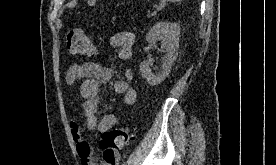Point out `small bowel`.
I'll return each instance as SVG.
<instances>
[{
	"label": "small bowel",
	"instance_id": "1",
	"mask_svg": "<svg viewBox=\"0 0 276 165\" xmlns=\"http://www.w3.org/2000/svg\"><path fill=\"white\" fill-rule=\"evenodd\" d=\"M135 36L131 32H119L113 35L110 43L117 48V55L120 60L126 61L132 57V47ZM113 77L112 69L96 62L74 63L65 76L69 86L80 83V97L82 99V111L86 119V126L89 130H98L101 133L111 130L117 124V116L113 113L102 114L100 92L102 85L109 82ZM127 79H118L114 82L113 88L117 94L123 96L124 103L132 105L136 102V91L130 86L132 79L130 70L126 71ZM72 138L74 140L81 165H117L119 161L118 152L112 157L107 156L103 151L100 162L93 157V151L89 143L82 137L78 118L73 116L69 120Z\"/></svg>",
	"mask_w": 276,
	"mask_h": 165
}]
</instances>
